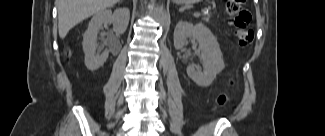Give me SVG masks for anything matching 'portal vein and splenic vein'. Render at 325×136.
<instances>
[{"instance_id":"1","label":"portal vein and splenic vein","mask_w":325,"mask_h":136,"mask_svg":"<svg viewBox=\"0 0 325 136\" xmlns=\"http://www.w3.org/2000/svg\"><path fill=\"white\" fill-rule=\"evenodd\" d=\"M200 15H201L200 12H196V13H194V16H200Z\"/></svg>"}]
</instances>
